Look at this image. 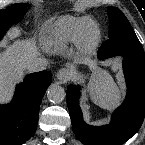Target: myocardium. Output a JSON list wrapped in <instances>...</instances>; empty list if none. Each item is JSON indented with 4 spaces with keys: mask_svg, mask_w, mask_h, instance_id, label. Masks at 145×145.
<instances>
[{
    "mask_svg": "<svg viewBox=\"0 0 145 145\" xmlns=\"http://www.w3.org/2000/svg\"><path fill=\"white\" fill-rule=\"evenodd\" d=\"M99 39L100 33L98 28L90 30L83 41V47L85 51L93 49L95 45L98 43Z\"/></svg>",
    "mask_w": 145,
    "mask_h": 145,
    "instance_id": "obj_1",
    "label": "myocardium"
}]
</instances>
